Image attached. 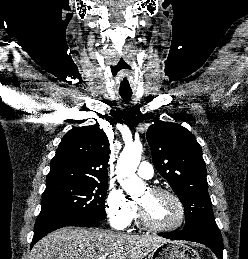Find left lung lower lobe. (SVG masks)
<instances>
[{
  "label": "left lung lower lobe",
  "mask_w": 248,
  "mask_h": 259,
  "mask_svg": "<svg viewBox=\"0 0 248 259\" xmlns=\"http://www.w3.org/2000/svg\"><path fill=\"white\" fill-rule=\"evenodd\" d=\"M159 235L171 240H186L204 244L216 254L218 259H222L223 242L216 223L201 225L189 230L183 229L178 232Z\"/></svg>",
  "instance_id": "obj_1"
}]
</instances>
